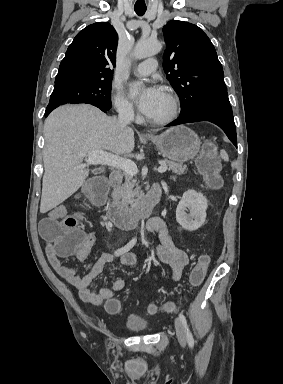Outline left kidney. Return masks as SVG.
<instances>
[{
	"label": "left kidney",
	"mask_w": 283,
	"mask_h": 384,
	"mask_svg": "<svg viewBox=\"0 0 283 384\" xmlns=\"http://www.w3.org/2000/svg\"><path fill=\"white\" fill-rule=\"evenodd\" d=\"M207 200L195 190L184 192L177 208L176 220L184 230L194 232L203 226L206 220ZM190 212V214H186Z\"/></svg>",
	"instance_id": "left-kidney-1"
}]
</instances>
